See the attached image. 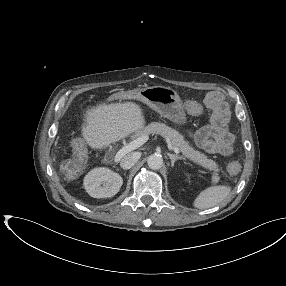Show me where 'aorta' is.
I'll return each instance as SVG.
<instances>
[{
	"label": "aorta",
	"mask_w": 286,
	"mask_h": 286,
	"mask_svg": "<svg viewBox=\"0 0 286 286\" xmlns=\"http://www.w3.org/2000/svg\"><path fill=\"white\" fill-rule=\"evenodd\" d=\"M147 164L149 168L158 170L163 166V158L159 154H152L148 157Z\"/></svg>",
	"instance_id": "1"
}]
</instances>
